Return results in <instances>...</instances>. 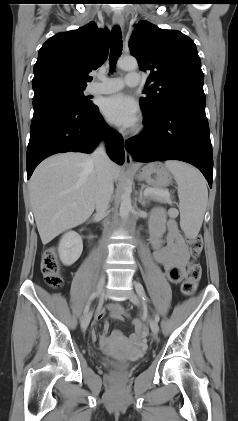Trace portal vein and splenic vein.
Here are the masks:
<instances>
[{"label":"portal vein and splenic vein","instance_id":"1","mask_svg":"<svg viewBox=\"0 0 238 421\" xmlns=\"http://www.w3.org/2000/svg\"><path fill=\"white\" fill-rule=\"evenodd\" d=\"M151 194L158 195V196H169L170 195L169 192H167V191L157 190V189H152V188H147L144 191L145 196H149Z\"/></svg>","mask_w":238,"mask_h":421}]
</instances>
